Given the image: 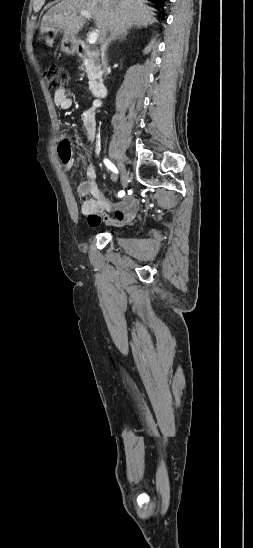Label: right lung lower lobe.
I'll use <instances>...</instances> for the list:
<instances>
[{
	"mask_svg": "<svg viewBox=\"0 0 253 548\" xmlns=\"http://www.w3.org/2000/svg\"><path fill=\"white\" fill-rule=\"evenodd\" d=\"M151 1L156 3L159 6H163L166 0H151Z\"/></svg>",
	"mask_w": 253,
	"mask_h": 548,
	"instance_id": "obj_1",
	"label": "right lung lower lobe"
}]
</instances>
